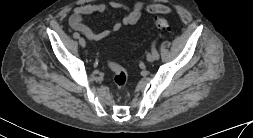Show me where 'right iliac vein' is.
Listing matches in <instances>:
<instances>
[{"mask_svg":"<svg viewBox=\"0 0 253 138\" xmlns=\"http://www.w3.org/2000/svg\"><path fill=\"white\" fill-rule=\"evenodd\" d=\"M79 44H80L81 47H85L86 42H85L84 38H82V37L79 38Z\"/></svg>","mask_w":253,"mask_h":138,"instance_id":"1","label":"right iliac vein"}]
</instances>
